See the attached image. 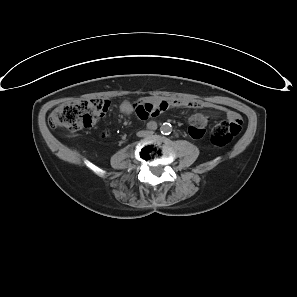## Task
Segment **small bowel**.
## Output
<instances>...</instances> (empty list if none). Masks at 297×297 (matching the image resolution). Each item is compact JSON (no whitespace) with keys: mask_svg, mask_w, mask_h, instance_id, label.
I'll list each match as a JSON object with an SVG mask.
<instances>
[{"mask_svg":"<svg viewBox=\"0 0 297 297\" xmlns=\"http://www.w3.org/2000/svg\"><path fill=\"white\" fill-rule=\"evenodd\" d=\"M169 107H186V108H211L218 112L225 113L228 119H233L238 114L232 110H228L223 106L203 102L200 100H187V99H171V100H144L137 105H133L130 102H124L121 105L122 113L129 115L133 111H136L140 119H147L153 117L159 113L167 110ZM209 116L201 113L193 114L190 119L189 134L194 139H199L204 134V129L208 124Z\"/></svg>","mask_w":297,"mask_h":297,"instance_id":"small-bowel-1","label":"small bowel"}]
</instances>
